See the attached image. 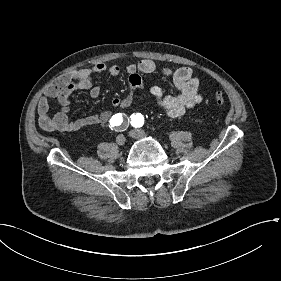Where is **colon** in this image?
<instances>
[{
    "mask_svg": "<svg viewBox=\"0 0 281 281\" xmlns=\"http://www.w3.org/2000/svg\"><path fill=\"white\" fill-rule=\"evenodd\" d=\"M225 101H226V96L222 93H217L214 96V102L217 103V104H224Z\"/></svg>",
    "mask_w": 281,
    "mask_h": 281,
    "instance_id": "obj_1",
    "label": "colon"
}]
</instances>
